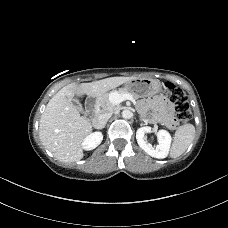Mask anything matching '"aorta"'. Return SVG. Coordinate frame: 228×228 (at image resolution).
Masks as SVG:
<instances>
[{
  "instance_id": "obj_1",
  "label": "aorta",
  "mask_w": 228,
  "mask_h": 228,
  "mask_svg": "<svg viewBox=\"0 0 228 228\" xmlns=\"http://www.w3.org/2000/svg\"><path fill=\"white\" fill-rule=\"evenodd\" d=\"M122 117L124 119H130L132 117V112L130 110H128V109H124L122 111Z\"/></svg>"
}]
</instances>
